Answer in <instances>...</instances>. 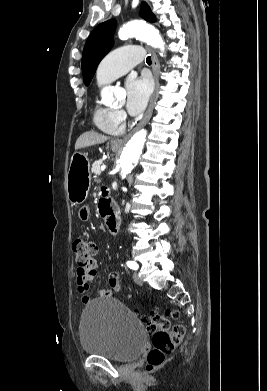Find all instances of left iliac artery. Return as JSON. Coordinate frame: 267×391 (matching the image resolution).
I'll return each mask as SVG.
<instances>
[{"label":"left iliac artery","instance_id":"obj_1","mask_svg":"<svg viewBox=\"0 0 267 391\" xmlns=\"http://www.w3.org/2000/svg\"><path fill=\"white\" fill-rule=\"evenodd\" d=\"M127 266L133 270H137L138 269V264L134 261H128L127 262Z\"/></svg>","mask_w":267,"mask_h":391}]
</instances>
